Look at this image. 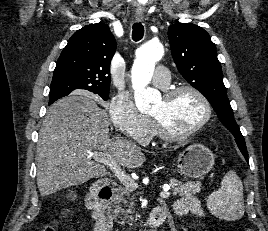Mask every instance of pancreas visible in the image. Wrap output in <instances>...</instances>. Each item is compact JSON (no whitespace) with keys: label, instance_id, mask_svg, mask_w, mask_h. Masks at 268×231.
<instances>
[{"label":"pancreas","instance_id":"1","mask_svg":"<svg viewBox=\"0 0 268 231\" xmlns=\"http://www.w3.org/2000/svg\"><path fill=\"white\" fill-rule=\"evenodd\" d=\"M174 196H190L201 191L200 182H181L175 178L170 179L169 183ZM133 189L127 186H119L113 190V196L107 203V217L110 222H117L121 225L130 218L132 213L130 209L133 205ZM128 208V209H126ZM120 219V220H119Z\"/></svg>","mask_w":268,"mask_h":231}]
</instances>
